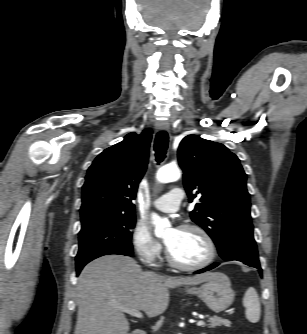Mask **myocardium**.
<instances>
[{"instance_id": "myocardium-1", "label": "myocardium", "mask_w": 307, "mask_h": 334, "mask_svg": "<svg viewBox=\"0 0 307 334\" xmlns=\"http://www.w3.org/2000/svg\"><path fill=\"white\" fill-rule=\"evenodd\" d=\"M180 230H193L196 231L197 233H199L201 235V237L204 239L207 248H208V255L207 257L197 263V264H183L181 262H179L171 253L170 249H167V259L168 262L170 263V265H172L173 267L180 269V270H184V271H195V270H199V269H203L207 266H209L215 259L216 257V245L214 243V240L212 239V237L210 236V234L201 226L196 225V224H192V223H187V224H183L180 227Z\"/></svg>"}]
</instances>
